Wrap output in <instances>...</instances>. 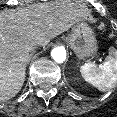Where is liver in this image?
Here are the masks:
<instances>
[{
    "mask_svg": "<svg viewBox=\"0 0 117 117\" xmlns=\"http://www.w3.org/2000/svg\"><path fill=\"white\" fill-rule=\"evenodd\" d=\"M88 8L66 0L38 3L0 12V101L18 94L29 52L87 19Z\"/></svg>",
    "mask_w": 117,
    "mask_h": 117,
    "instance_id": "obj_1",
    "label": "liver"
}]
</instances>
